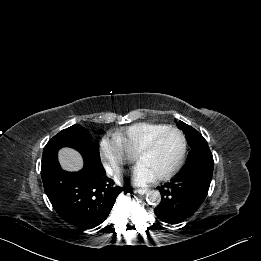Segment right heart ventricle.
<instances>
[{
  "label": "right heart ventricle",
  "instance_id": "right-heart-ventricle-1",
  "mask_svg": "<svg viewBox=\"0 0 261 261\" xmlns=\"http://www.w3.org/2000/svg\"><path fill=\"white\" fill-rule=\"evenodd\" d=\"M167 125L140 122L125 127L114 134V138L132 155L136 153L158 132Z\"/></svg>",
  "mask_w": 261,
  "mask_h": 261
}]
</instances>
